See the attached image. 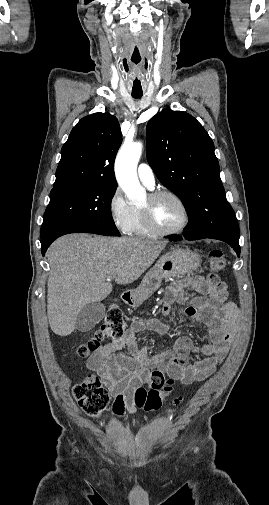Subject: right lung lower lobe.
<instances>
[{
	"label": "right lung lower lobe",
	"instance_id": "1",
	"mask_svg": "<svg viewBox=\"0 0 269 505\" xmlns=\"http://www.w3.org/2000/svg\"><path fill=\"white\" fill-rule=\"evenodd\" d=\"M69 233H90V232L68 226H60L52 228L41 236L42 254L43 255L45 254L47 248L55 239Z\"/></svg>",
	"mask_w": 269,
	"mask_h": 505
}]
</instances>
